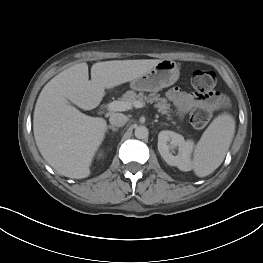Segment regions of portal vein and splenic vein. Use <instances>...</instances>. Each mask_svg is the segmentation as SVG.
<instances>
[{
    "mask_svg": "<svg viewBox=\"0 0 263 263\" xmlns=\"http://www.w3.org/2000/svg\"><path fill=\"white\" fill-rule=\"evenodd\" d=\"M142 108L145 106L144 102L134 101L133 103L123 102V101H113L107 105L108 111H126L132 108Z\"/></svg>",
    "mask_w": 263,
    "mask_h": 263,
    "instance_id": "obj_1",
    "label": "portal vein and splenic vein"
}]
</instances>
